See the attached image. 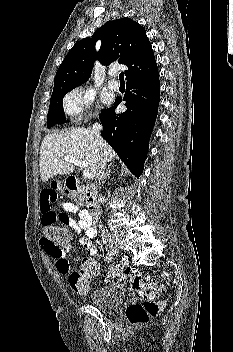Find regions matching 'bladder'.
<instances>
[{
    "mask_svg": "<svg viewBox=\"0 0 233 352\" xmlns=\"http://www.w3.org/2000/svg\"><path fill=\"white\" fill-rule=\"evenodd\" d=\"M124 300V289L117 284L102 285L94 291L91 297L92 305L106 313L117 311Z\"/></svg>",
    "mask_w": 233,
    "mask_h": 352,
    "instance_id": "1",
    "label": "bladder"
}]
</instances>
